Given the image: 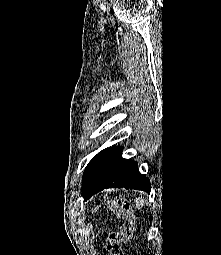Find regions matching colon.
Masks as SVG:
<instances>
[{
  "label": "colon",
  "instance_id": "5ec220e1",
  "mask_svg": "<svg viewBox=\"0 0 221 255\" xmlns=\"http://www.w3.org/2000/svg\"><path fill=\"white\" fill-rule=\"evenodd\" d=\"M110 211L121 220L116 230L109 233L107 250L109 255H125L124 244L133 234L135 217L130 206L123 200L107 199Z\"/></svg>",
  "mask_w": 221,
  "mask_h": 255
}]
</instances>
